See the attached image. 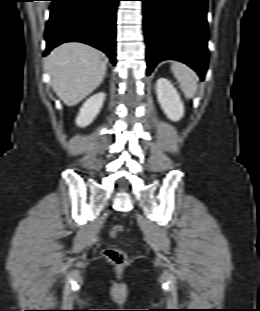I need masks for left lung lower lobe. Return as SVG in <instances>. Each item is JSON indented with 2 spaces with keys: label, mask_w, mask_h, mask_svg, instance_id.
Wrapping results in <instances>:
<instances>
[{
  "label": "left lung lower lobe",
  "mask_w": 260,
  "mask_h": 311,
  "mask_svg": "<svg viewBox=\"0 0 260 311\" xmlns=\"http://www.w3.org/2000/svg\"><path fill=\"white\" fill-rule=\"evenodd\" d=\"M147 44V75L173 59L204 79L208 67L207 0H141Z\"/></svg>",
  "instance_id": "1"
}]
</instances>
